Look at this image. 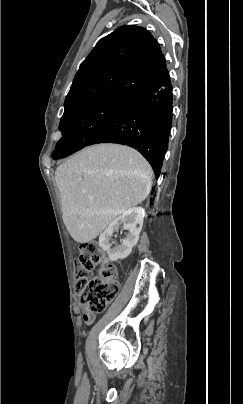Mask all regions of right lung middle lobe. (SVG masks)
<instances>
[{
	"mask_svg": "<svg viewBox=\"0 0 243 404\" xmlns=\"http://www.w3.org/2000/svg\"><path fill=\"white\" fill-rule=\"evenodd\" d=\"M126 102L108 98L79 105L61 118L62 138L57 142L52 158L57 160L90 145V141Z\"/></svg>",
	"mask_w": 243,
	"mask_h": 404,
	"instance_id": "right-lung-middle-lobe-1",
	"label": "right lung middle lobe"
}]
</instances>
